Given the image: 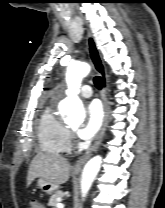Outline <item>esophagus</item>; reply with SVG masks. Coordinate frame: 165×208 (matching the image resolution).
I'll return each mask as SVG.
<instances>
[{"instance_id":"1","label":"esophagus","mask_w":165,"mask_h":208,"mask_svg":"<svg viewBox=\"0 0 165 208\" xmlns=\"http://www.w3.org/2000/svg\"><path fill=\"white\" fill-rule=\"evenodd\" d=\"M87 47H88V51H89V55H90L93 68L101 77V84H102L101 99H102L103 108H104V120H103L102 127L100 129V132L97 136L95 143L73 165V170L75 171L81 170L84 164L87 162V160L98 149L99 145L101 144L103 140L106 127H107V123H108V103H107L108 79H107V75L105 71V65L103 63L100 52L96 46L95 39L90 31H87Z\"/></svg>"}]
</instances>
